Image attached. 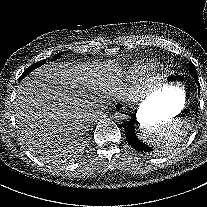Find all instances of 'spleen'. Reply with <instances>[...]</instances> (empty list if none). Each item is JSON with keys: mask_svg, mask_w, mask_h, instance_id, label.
<instances>
[{"mask_svg": "<svg viewBox=\"0 0 207 207\" xmlns=\"http://www.w3.org/2000/svg\"><path fill=\"white\" fill-rule=\"evenodd\" d=\"M194 125V118L185 115L177 120H158L138 126L134 129L133 136L136 140L145 142L149 148L162 151L180 143Z\"/></svg>", "mask_w": 207, "mask_h": 207, "instance_id": "spleen-1", "label": "spleen"}]
</instances>
